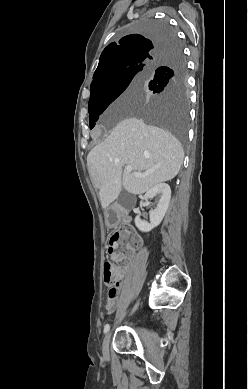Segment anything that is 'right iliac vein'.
<instances>
[{"instance_id":"63e3f726","label":"right iliac vein","mask_w":248,"mask_h":389,"mask_svg":"<svg viewBox=\"0 0 248 389\" xmlns=\"http://www.w3.org/2000/svg\"><path fill=\"white\" fill-rule=\"evenodd\" d=\"M138 305H139V302H137L133 311H135V309L138 307ZM110 339H111V332L107 333L104 340H103L102 349H103L104 355H108V353H109Z\"/></svg>"}]
</instances>
